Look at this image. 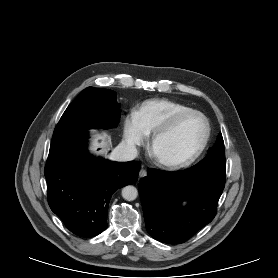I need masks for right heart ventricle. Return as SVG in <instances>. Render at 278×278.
I'll return each mask as SVG.
<instances>
[{
    "instance_id": "right-heart-ventricle-1",
    "label": "right heart ventricle",
    "mask_w": 278,
    "mask_h": 278,
    "mask_svg": "<svg viewBox=\"0 0 278 278\" xmlns=\"http://www.w3.org/2000/svg\"><path fill=\"white\" fill-rule=\"evenodd\" d=\"M191 109L185 104L169 99H149L140 104L136 114L143 129L150 134L177 114Z\"/></svg>"
}]
</instances>
